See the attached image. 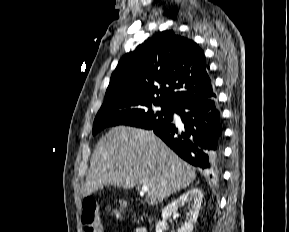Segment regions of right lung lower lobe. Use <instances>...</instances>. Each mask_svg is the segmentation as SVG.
Listing matches in <instances>:
<instances>
[{
	"mask_svg": "<svg viewBox=\"0 0 289 232\" xmlns=\"http://www.w3.org/2000/svg\"><path fill=\"white\" fill-rule=\"evenodd\" d=\"M174 112L181 117L184 129L169 122L151 130L195 167L219 168L223 157V132L216 96L184 102Z\"/></svg>",
	"mask_w": 289,
	"mask_h": 232,
	"instance_id": "right-lung-lower-lobe-1",
	"label": "right lung lower lobe"
}]
</instances>
